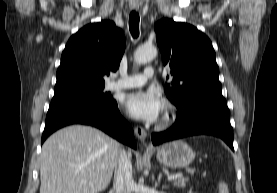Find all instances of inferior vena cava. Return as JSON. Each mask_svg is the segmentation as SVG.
I'll return each instance as SVG.
<instances>
[{
	"label": "inferior vena cava",
	"instance_id": "inferior-vena-cava-1",
	"mask_svg": "<svg viewBox=\"0 0 277 193\" xmlns=\"http://www.w3.org/2000/svg\"><path fill=\"white\" fill-rule=\"evenodd\" d=\"M134 185L130 154L121 149L115 167L113 191L114 193H131Z\"/></svg>",
	"mask_w": 277,
	"mask_h": 193
}]
</instances>
